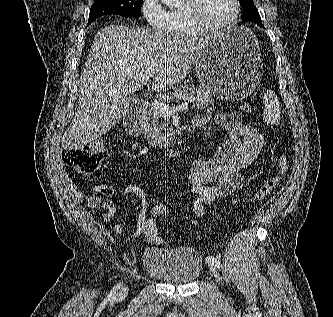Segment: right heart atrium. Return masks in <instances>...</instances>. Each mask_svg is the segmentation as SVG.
<instances>
[{
	"label": "right heart atrium",
	"instance_id": "1",
	"mask_svg": "<svg viewBox=\"0 0 333 317\" xmlns=\"http://www.w3.org/2000/svg\"><path fill=\"white\" fill-rule=\"evenodd\" d=\"M141 13L148 25L157 32L169 29V12L162 6L160 0H142Z\"/></svg>",
	"mask_w": 333,
	"mask_h": 317
}]
</instances>
